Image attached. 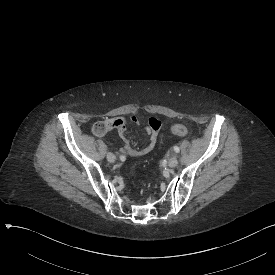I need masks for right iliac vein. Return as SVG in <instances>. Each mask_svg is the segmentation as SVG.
Segmentation results:
<instances>
[{
  "label": "right iliac vein",
  "instance_id": "63e3f726",
  "mask_svg": "<svg viewBox=\"0 0 275 275\" xmlns=\"http://www.w3.org/2000/svg\"><path fill=\"white\" fill-rule=\"evenodd\" d=\"M107 160H108L109 162L113 163V162H115L116 157H115V155H114L113 153L109 152V153L107 154Z\"/></svg>",
  "mask_w": 275,
  "mask_h": 275
}]
</instances>
